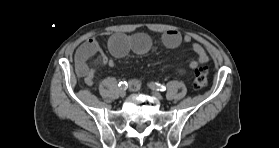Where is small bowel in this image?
Masks as SVG:
<instances>
[{
	"label": "small bowel",
	"instance_id": "small-bowel-1",
	"mask_svg": "<svg viewBox=\"0 0 279 148\" xmlns=\"http://www.w3.org/2000/svg\"><path fill=\"white\" fill-rule=\"evenodd\" d=\"M162 42L168 48H176L182 42L191 43L192 38L189 35L182 36L176 30H168L162 35ZM151 39L145 33H136L133 35L115 34L108 40V48L112 56L120 58L129 51L136 54H145L151 48ZM192 49L196 57L188 63L189 69H196L198 65L207 63L209 57L204 48L196 42L192 43ZM98 56V61L109 67L115 66V61L109 59L101 50L99 42L95 38H89L83 42L75 53V70L77 75L83 79L86 85H92L95 70L89 65V60ZM144 77H138L129 81L131 90L136 91L141 87Z\"/></svg>",
	"mask_w": 279,
	"mask_h": 148
}]
</instances>
